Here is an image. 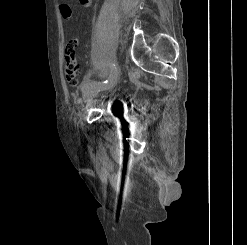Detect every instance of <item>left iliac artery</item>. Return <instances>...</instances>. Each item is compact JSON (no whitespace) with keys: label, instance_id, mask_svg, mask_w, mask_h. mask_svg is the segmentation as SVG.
<instances>
[{"label":"left iliac artery","instance_id":"44dca946","mask_svg":"<svg viewBox=\"0 0 247 245\" xmlns=\"http://www.w3.org/2000/svg\"><path fill=\"white\" fill-rule=\"evenodd\" d=\"M117 68L115 66V64H112L111 65V74H110V77L109 79L103 81V82H97V81H85L82 85V91H86L91 85H99V86H105L108 84L110 78L113 76V74L116 72Z\"/></svg>","mask_w":247,"mask_h":245}]
</instances>
